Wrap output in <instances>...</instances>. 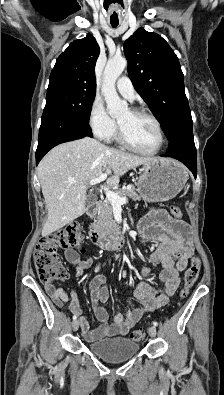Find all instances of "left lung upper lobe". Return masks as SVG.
Instances as JSON below:
<instances>
[{"label":"left lung upper lobe","mask_w":224,"mask_h":395,"mask_svg":"<svg viewBox=\"0 0 224 395\" xmlns=\"http://www.w3.org/2000/svg\"><path fill=\"white\" fill-rule=\"evenodd\" d=\"M129 77L167 138L191 116L179 60L160 35L138 29L124 43Z\"/></svg>","instance_id":"1"}]
</instances>
